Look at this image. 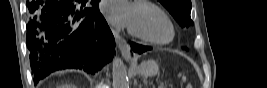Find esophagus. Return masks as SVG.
Instances as JSON below:
<instances>
[{"label":"esophagus","instance_id":"obj_1","mask_svg":"<svg viewBox=\"0 0 267 88\" xmlns=\"http://www.w3.org/2000/svg\"><path fill=\"white\" fill-rule=\"evenodd\" d=\"M114 35L116 44L125 60L129 59L130 49L128 43L118 34V32L114 29H111Z\"/></svg>","mask_w":267,"mask_h":88}]
</instances>
